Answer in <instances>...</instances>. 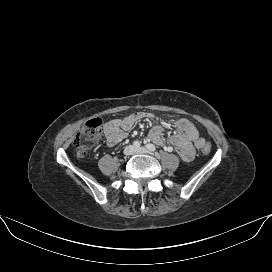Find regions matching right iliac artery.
<instances>
[{
  "label": "right iliac artery",
  "mask_w": 272,
  "mask_h": 272,
  "mask_svg": "<svg viewBox=\"0 0 272 272\" xmlns=\"http://www.w3.org/2000/svg\"><path fill=\"white\" fill-rule=\"evenodd\" d=\"M133 145H134V147L138 148V147H140V142L139 141H134Z\"/></svg>",
  "instance_id": "82829eb1"
}]
</instances>
